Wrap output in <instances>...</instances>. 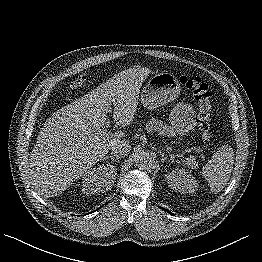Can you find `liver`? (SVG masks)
<instances>
[{"label":"liver","instance_id":"obj_1","mask_svg":"<svg viewBox=\"0 0 262 262\" xmlns=\"http://www.w3.org/2000/svg\"><path fill=\"white\" fill-rule=\"evenodd\" d=\"M150 72L144 67L124 70L45 122L30 154L27 172L40 195L48 198L64 191L125 135L117 131L106 139H95L112 104L116 124L126 127L132 123L140 88Z\"/></svg>","mask_w":262,"mask_h":262}]
</instances>
